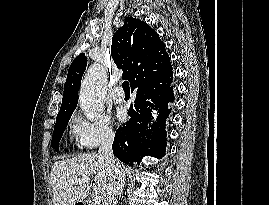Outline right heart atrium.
I'll return each instance as SVG.
<instances>
[{
    "mask_svg": "<svg viewBox=\"0 0 269 205\" xmlns=\"http://www.w3.org/2000/svg\"><path fill=\"white\" fill-rule=\"evenodd\" d=\"M71 129L77 145L85 149H95L114 139L111 120L106 115L88 120L77 114L72 118Z\"/></svg>",
    "mask_w": 269,
    "mask_h": 205,
    "instance_id": "1",
    "label": "right heart atrium"
}]
</instances>
